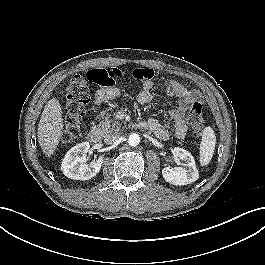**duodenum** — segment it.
Listing matches in <instances>:
<instances>
[{
	"label": "duodenum",
	"instance_id": "410a0bca",
	"mask_svg": "<svg viewBox=\"0 0 265 265\" xmlns=\"http://www.w3.org/2000/svg\"><path fill=\"white\" fill-rule=\"evenodd\" d=\"M87 138L91 143H99L101 140V134L98 129H91L88 134Z\"/></svg>",
	"mask_w": 265,
	"mask_h": 265
}]
</instances>
